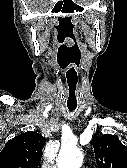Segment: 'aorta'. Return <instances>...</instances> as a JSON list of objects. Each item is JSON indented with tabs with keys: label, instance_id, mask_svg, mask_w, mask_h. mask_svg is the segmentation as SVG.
Listing matches in <instances>:
<instances>
[{
	"label": "aorta",
	"instance_id": "obj_1",
	"mask_svg": "<svg viewBox=\"0 0 127 168\" xmlns=\"http://www.w3.org/2000/svg\"><path fill=\"white\" fill-rule=\"evenodd\" d=\"M82 161L83 155L77 147H63L59 153L57 166L58 168H80Z\"/></svg>",
	"mask_w": 127,
	"mask_h": 168
}]
</instances>
